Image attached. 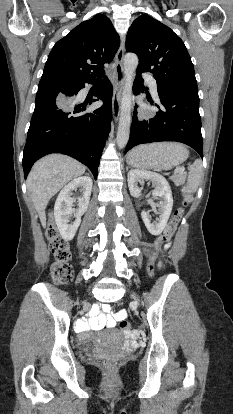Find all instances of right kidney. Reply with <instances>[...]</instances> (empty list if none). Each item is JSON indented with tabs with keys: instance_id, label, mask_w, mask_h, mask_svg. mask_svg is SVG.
<instances>
[{
	"instance_id": "ca27d5eb",
	"label": "right kidney",
	"mask_w": 233,
	"mask_h": 414,
	"mask_svg": "<svg viewBox=\"0 0 233 414\" xmlns=\"http://www.w3.org/2000/svg\"><path fill=\"white\" fill-rule=\"evenodd\" d=\"M92 179L89 176H81L68 183L59 193L54 206V217L61 236L65 240H72L81 223V216L87 211L92 191ZM77 188H82V197L78 199L79 208L72 209L74 198L72 192ZM75 213V221L72 222L70 216Z\"/></svg>"
}]
</instances>
